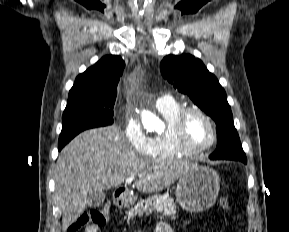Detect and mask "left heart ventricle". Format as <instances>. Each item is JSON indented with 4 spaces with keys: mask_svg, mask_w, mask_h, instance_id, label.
<instances>
[{
    "mask_svg": "<svg viewBox=\"0 0 289 232\" xmlns=\"http://www.w3.org/2000/svg\"><path fill=\"white\" fill-rule=\"evenodd\" d=\"M186 138L194 146L207 144L212 136L208 122L198 113H191L186 119Z\"/></svg>",
    "mask_w": 289,
    "mask_h": 232,
    "instance_id": "left-heart-ventricle-1",
    "label": "left heart ventricle"
}]
</instances>
